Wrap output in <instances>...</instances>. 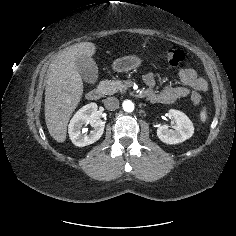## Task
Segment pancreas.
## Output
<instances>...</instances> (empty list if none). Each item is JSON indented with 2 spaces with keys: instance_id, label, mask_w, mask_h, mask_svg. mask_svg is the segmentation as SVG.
Wrapping results in <instances>:
<instances>
[{
  "instance_id": "cf45deb5",
  "label": "pancreas",
  "mask_w": 236,
  "mask_h": 236,
  "mask_svg": "<svg viewBox=\"0 0 236 236\" xmlns=\"http://www.w3.org/2000/svg\"><path fill=\"white\" fill-rule=\"evenodd\" d=\"M104 85V94L113 95L117 92H124L126 90V86L122 83V81L115 80H105L103 81Z\"/></svg>"
}]
</instances>
